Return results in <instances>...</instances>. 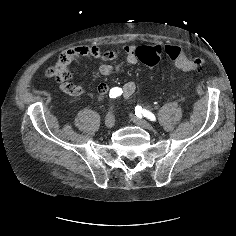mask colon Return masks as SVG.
<instances>
[{
    "instance_id": "5ec220e1",
    "label": "colon",
    "mask_w": 236,
    "mask_h": 236,
    "mask_svg": "<svg viewBox=\"0 0 236 236\" xmlns=\"http://www.w3.org/2000/svg\"><path fill=\"white\" fill-rule=\"evenodd\" d=\"M162 54L167 56L178 69L183 71H197L202 69L205 64L204 59L201 57H187L183 50L176 45H165L162 48H151L142 45L136 51L138 60L148 67L157 65L160 62ZM69 69L70 60L61 54L57 63L48 69L47 74L57 81H62L66 79Z\"/></svg>"
}]
</instances>
